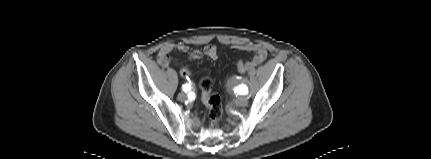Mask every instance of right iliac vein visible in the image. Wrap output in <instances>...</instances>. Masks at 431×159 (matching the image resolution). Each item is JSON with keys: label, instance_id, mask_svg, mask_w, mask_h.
Listing matches in <instances>:
<instances>
[{"label": "right iliac vein", "instance_id": "1", "mask_svg": "<svg viewBox=\"0 0 431 159\" xmlns=\"http://www.w3.org/2000/svg\"><path fill=\"white\" fill-rule=\"evenodd\" d=\"M186 98H187V96H186L185 93L181 92V93L178 94V100L179 101H185Z\"/></svg>", "mask_w": 431, "mask_h": 159}]
</instances>
